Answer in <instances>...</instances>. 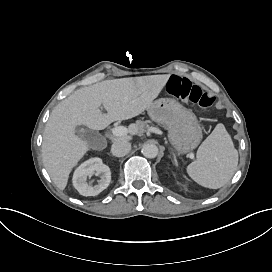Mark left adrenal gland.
<instances>
[{
  "label": "left adrenal gland",
  "mask_w": 272,
  "mask_h": 272,
  "mask_svg": "<svg viewBox=\"0 0 272 272\" xmlns=\"http://www.w3.org/2000/svg\"><path fill=\"white\" fill-rule=\"evenodd\" d=\"M173 159H174V163H175V165H178V163H177V159H176V155L173 153Z\"/></svg>",
  "instance_id": "1"
}]
</instances>
